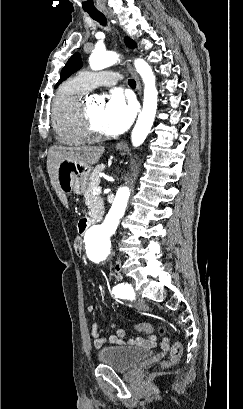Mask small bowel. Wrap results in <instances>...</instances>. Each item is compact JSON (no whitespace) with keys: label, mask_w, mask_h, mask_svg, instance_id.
<instances>
[{"label":"small bowel","mask_w":243,"mask_h":409,"mask_svg":"<svg viewBox=\"0 0 243 409\" xmlns=\"http://www.w3.org/2000/svg\"><path fill=\"white\" fill-rule=\"evenodd\" d=\"M114 276L118 278L120 276V272L115 270ZM87 311L89 313H93L95 311V307L93 305H89L87 307ZM111 328L114 329L115 325H111ZM91 336L93 338L94 345L97 348H101L107 342L116 345L145 348H153L156 345V337L153 334H149L146 337L138 336L134 338H125V331L123 329H116L112 335L106 338L103 336V329H101L98 323L92 324ZM163 348L165 350L167 349L164 346Z\"/></svg>","instance_id":"c3829d8e"}]
</instances>
